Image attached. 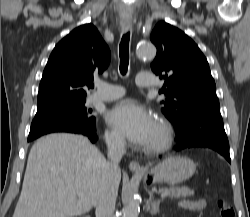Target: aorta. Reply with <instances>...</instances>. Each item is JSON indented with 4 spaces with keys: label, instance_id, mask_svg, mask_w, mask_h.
<instances>
[{
    "label": "aorta",
    "instance_id": "1",
    "mask_svg": "<svg viewBox=\"0 0 250 217\" xmlns=\"http://www.w3.org/2000/svg\"><path fill=\"white\" fill-rule=\"evenodd\" d=\"M137 56L139 58H153L156 55V48L151 43L140 44L137 48ZM140 212V202L135 196H132L128 199L123 217H138Z\"/></svg>",
    "mask_w": 250,
    "mask_h": 217
}]
</instances>
